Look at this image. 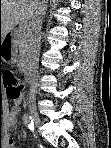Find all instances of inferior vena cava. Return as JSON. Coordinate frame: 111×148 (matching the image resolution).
<instances>
[{"label":"inferior vena cava","mask_w":111,"mask_h":148,"mask_svg":"<svg viewBox=\"0 0 111 148\" xmlns=\"http://www.w3.org/2000/svg\"><path fill=\"white\" fill-rule=\"evenodd\" d=\"M47 0H42L37 2L36 10L31 17V28H30V50L31 58L34 67H36L38 62V56L41 45V28L43 22V15L45 14ZM36 87L34 84L31 85L29 90V99L35 98Z\"/></svg>","instance_id":"602c4592"}]
</instances>
